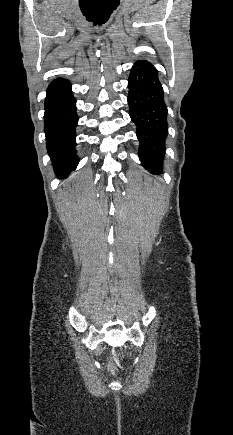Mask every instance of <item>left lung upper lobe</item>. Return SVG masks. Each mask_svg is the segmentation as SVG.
Listing matches in <instances>:
<instances>
[{"mask_svg": "<svg viewBox=\"0 0 233 435\" xmlns=\"http://www.w3.org/2000/svg\"><path fill=\"white\" fill-rule=\"evenodd\" d=\"M140 64L152 66V65H151L149 62H147V61H140Z\"/></svg>", "mask_w": 233, "mask_h": 435, "instance_id": "5c2ea615", "label": "left lung upper lobe"}]
</instances>
